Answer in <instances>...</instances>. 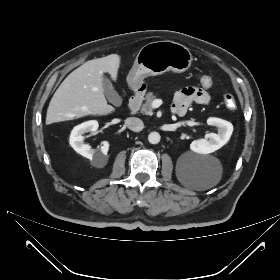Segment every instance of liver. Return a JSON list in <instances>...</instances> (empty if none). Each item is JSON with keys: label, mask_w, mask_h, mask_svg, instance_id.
I'll use <instances>...</instances> for the list:
<instances>
[{"label": "liver", "mask_w": 280, "mask_h": 280, "mask_svg": "<svg viewBox=\"0 0 280 280\" xmlns=\"http://www.w3.org/2000/svg\"><path fill=\"white\" fill-rule=\"evenodd\" d=\"M119 67L120 56L110 54L87 61L71 72L49 103L46 124L114 112L104 96L103 74L109 73L116 81Z\"/></svg>", "instance_id": "1"}]
</instances>
